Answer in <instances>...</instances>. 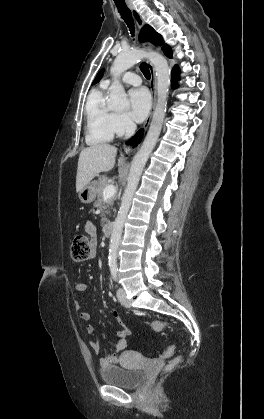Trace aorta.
<instances>
[{"mask_svg":"<svg viewBox=\"0 0 264 419\" xmlns=\"http://www.w3.org/2000/svg\"><path fill=\"white\" fill-rule=\"evenodd\" d=\"M143 58H147L156 71L157 105L147 136L132 161L128 176V184L123 194L121 205L113 225L108 256L110 268H115L117 265V251L122 236L123 226L143 168L158 140L167 106V97L170 86V68L167 60L157 52L133 50L127 53H120L113 62L110 72L114 77V81L110 87L108 107L113 110H120L128 105L124 87L118 78L124 71L131 68Z\"/></svg>","mask_w":264,"mask_h":419,"instance_id":"obj_1","label":"aorta"}]
</instances>
